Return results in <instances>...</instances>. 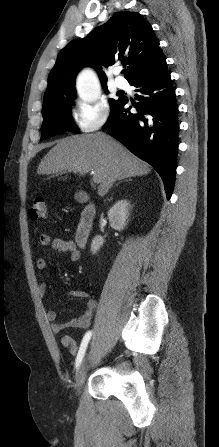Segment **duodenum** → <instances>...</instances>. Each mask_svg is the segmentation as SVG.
I'll return each instance as SVG.
<instances>
[{
	"instance_id": "obj_1",
	"label": "duodenum",
	"mask_w": 219,
	"mask_h": 447,
	"mask_svg": "<svg viewBox=\"0 0 219 447\" xmlns=\"http://www.w3.org/2000/svg\"><path fill=\"white\" fill-rule=\"evenodd\" d=\"M79 201L85 203V207L80 214L75 232V242L78 246L84 247L91 235L94 219L96 216V206L90 201L86 193L79 195Z\"/></svg>"
}]
</instances>
